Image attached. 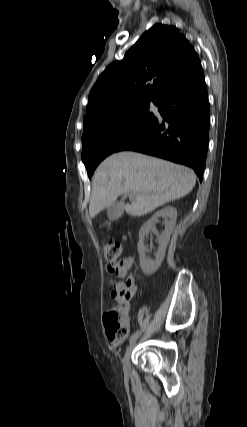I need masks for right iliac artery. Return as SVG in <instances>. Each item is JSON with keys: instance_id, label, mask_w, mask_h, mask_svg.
Wrapping results in <instances>:
<instances>
[{"instance_id": "right-iliac-artery-1", "label": "right iliac artery", "mask_w": 247, "mask_h": 427, "mask_svg": "<svg viewBox=\"0 0 247 427\" xmlns=\"http://www.w3.org/2000/svg\"><path fill=\"white\" fill-rule=\"evenodd\" d=\"M140 331L134 332L130 337V342L136 339L139 336Z\"/></svg>"}]
</instances>
